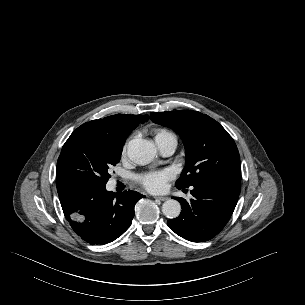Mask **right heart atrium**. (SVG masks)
Segmentation results:
<instances>
[{"instance_id": "right-heart-atrium-1", "label": "right heart atrium", "mask_w": 305, "mask_h": 305, "mask_svg": "<svg viewBox=\"0 0 305 305\" xmlns=\"http://www.w3.org/2000/svg\"><path fill=\"white\" fill-rule=\"evenodd\" d=\"M127 146H128V144H125V146H124V148H123V154L126 153V151H127Z\"/></svg>"}]
</instances>
